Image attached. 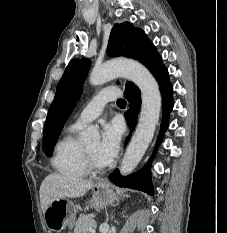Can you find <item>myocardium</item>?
<instances>
[{
	"label": "myocardium",
	"instance_id": "myocardium-1",
	"mask_svg": "<svg viewBox=\"0 0 227 233\" xmlns=\"http://www.w3.org/2000/svg\"><path fill=\"white\" fill-rule=\"evenodd\" d=\"M83 153L88 171L101 172L106 168V164L97 163L95 159L90 155V153L86 150V148L83 149Z\"/></svg>",
	"mask_w": 227,
	"mask_h": 233
}]
</instances>
